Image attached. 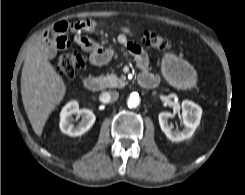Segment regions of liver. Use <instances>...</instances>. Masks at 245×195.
I'll list each match as a JSON object with an SVG mask.
<instances>
[{"mask_svg": "<svg viewBox=\"0 0 245 195\" xmlns=\"http://www.w3.org/2000/svg\"><path fill=\"white\" fill-rule=\"evenodd\" d=\"M66 93V84L48 61L47 48L32 46L25 57L21 75V95L25 112L37 136H41L51 112Z\"/></svg>", "mask_w": 245, "mask_h": 195, "instance_id": "liver-1", "label": "liver"}]
</instances>
